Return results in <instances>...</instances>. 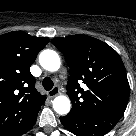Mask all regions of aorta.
<instances>
[{"instance_id": "762f6f07", "label": "aorta", "mask_w": 136, "mask_h": 136, "mask_svg": "<svg viewBox=\"0 0 136 136\" xmlns=\"http://www.w3.org/2000/svg\"><path fill=\"white\" fill-rule=\"evenodd\" d=\"M40 65L47 71L55 72L60 68L61 60L54 50H43L39 55ZM70 100L67 96L59 95L53 100V109L60 115H66L70 111Z\"/></svg>"}]
</instances>
